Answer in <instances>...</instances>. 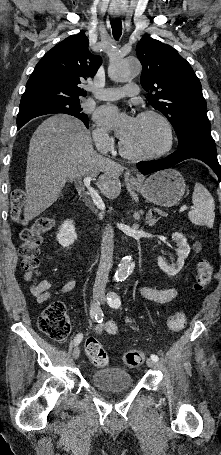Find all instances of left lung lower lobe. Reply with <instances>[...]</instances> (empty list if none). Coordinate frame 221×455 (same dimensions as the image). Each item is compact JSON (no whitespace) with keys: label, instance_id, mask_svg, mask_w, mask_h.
Returning a JSON list of instances; mask_svg holds the SVG:
<instances>
[{"label":"left lung lower lobe","instance_id":"obj_1","mask_svg":"<svg viewBox=\"0 0 221 455\" xmlns=\"http://www.w3.org/2000/svg\"><path fill=\"white\" fill-rule=\"evenodd\" d=\"M196 158L205 162L221 180V167L218 163L216 146L213 138L194 136L186 139L178 145L177 150L169 156L154 160L144 161L137 164L138 169L144 175L170 168L179 162Z\"/></svg>","mask_w":221,"mask_h":455}]
</instances>
